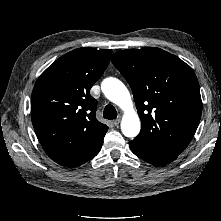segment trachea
Wrapping results in <instances>:
<instances>
[{
  "mask_svg": "<svg viewBox=\"0 0 221 221\" xmlns=\"http://www.w3.org/2000/svg\"><path fill=\"white\" fill-rule=\"evenodd\" d=\"M103 116L105 119H108V120L115 119L117 117V111H116L115 107L112 105H107L104 108Z\"/></svg>",
  "mask_w": 221,
  "mask_h": 221,
  "instance_id": "trachea-1",
  "label": "trachea"
}]
</instances>
